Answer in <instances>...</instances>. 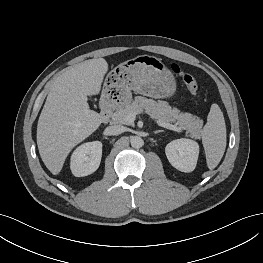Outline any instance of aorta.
I'll list each match as a JSON object with an SVG mask.
<instances>
[{
	"label": "aorta",
	"instance_id": "762f6f07",
	"mask_svg": "<svg viewBox=\"0 0 263 263\" xmlns=\"http://www.w3.org/2000/svg\"><path fill=\"white\" fill-rule=\"evenodd\" d=\"M131 146L133 148H141L143 146V140L139 136H134L131 138Z\"/></svg>",
	"mask_w": 263,
	"mask_h": 263
}]
</instances>
